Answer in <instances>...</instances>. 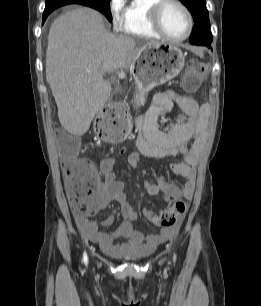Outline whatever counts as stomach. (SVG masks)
Returning <instances> with one entry per match:
<instances>
[{
  "label": "stomach",
  "instance_id": "1",
  "mask_svg": "<svg viewBox=\"0 0 261 306\" xmlns=\"http://www.w3.org/2000/svg\"><path fill=\"white\" fill-rule=\"evenodd\" d=\"M185 57L175 45L162 43L142 50L133 61L136 80L134 103L136 107L144 105L146 96L154 87L175 78L183 69ZM132 118L126 115L128 130L132 127Z\"/></svg>",
  "mask_w": 261,
  "mask_h": 306
}]
</instances>
